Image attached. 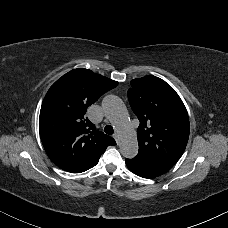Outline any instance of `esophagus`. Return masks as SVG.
I'll use <instances>...</instances> for the list:
<instances>
[{
    "instance_id": "34e87169",
    "label": "esophagus",
    "mask_w": 228,
    "mask_h": 228,
    "mask_svg": "<svg viewBox=\"0 0 228 228\" xmlns=\"http://www.w3.org/2000/svg\"><path fill=\"white\" fill-rule=\"evenodd\" d=\"M113 138H114V139L116 140V142L118 143V141H119L118 134L115 133V134L113 135Z\"/></svg>"
}]
</instances>
